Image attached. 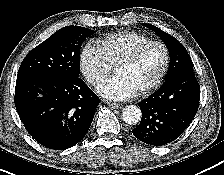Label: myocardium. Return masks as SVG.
<instances>
[{
    "mask_svg": "<svg viewBox=\"0 0 224 175\" xmlns=\"http://www.w3.org/2000/svg\"><path fill=\"white\" fill-rule=\"evenodd\" d=\"M150 46H159L163 50L164 54V60L163 64L161 66L160 71L158 72L157 76L146 86L140 88L136 91L137 95H143L146 94L152 90H154L160 82L163 80L164 76L167 73V70L169 68L170 64V51L167 47V45L161 41L156 40H149L139 46H137L135 49H133L130 53H128L126 56L121 58L116 64H115V70L118 66L121 65H129L137 60V58Z\"/></svg>",
    "mask_w": 224,
    "mask_h": 175,
    "instance_id": "1",
    "label": "myocardium"
}]
</instances>
